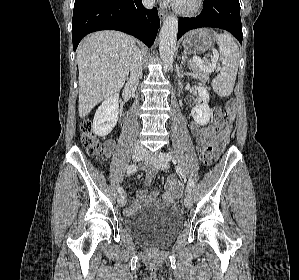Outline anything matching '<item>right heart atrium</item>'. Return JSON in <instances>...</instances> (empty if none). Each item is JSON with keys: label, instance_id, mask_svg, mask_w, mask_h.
Here are the masks:
<instances>
[{"label": "right heart atrium", "instance_id": "obj_1", "mask_svg": "<svg viewBox=\"0 0 299 280\" xmlns=\"http://www.w3.org/2000/svg\"><path fill=\"white\" fill-rule=\"evenodd\" d=\"M144 2H145L146 4H150V3L152 2V0H144Z\"/></svg>", "mask_w": 299, "mask_h": 280}]
</instances>
